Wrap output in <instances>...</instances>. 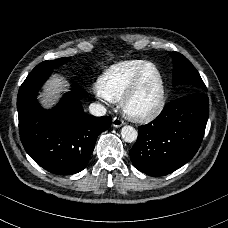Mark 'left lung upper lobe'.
Listing matches in <instances>:
<instances>
[{"label": "left lung upper lobe", "mask_w": 228, "mask_h": 228, "mask_svg": "<svg viewBox=\"0 0 228 228\" xmlns=\"http://www.w3.org/2000/svg\"><path fill=\"white\" fill-rule=\"evenodd\" d=\"M171 56L174 66L173 86H185L191 93L207 91L198 71L187 58L177 52H172Z\"/></svg>", "instance_id": "1"}]
</instances>
